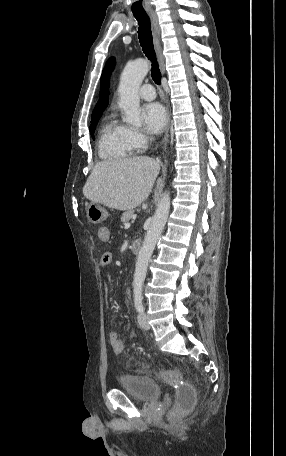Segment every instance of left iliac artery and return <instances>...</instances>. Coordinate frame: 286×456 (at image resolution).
Wrapping results in <instances>:
<instances>
[{"mask_svg": "<svg viewBox=\"0 0 286 456\" xmlns=\"http://www.w3.org/2000/svg\"><path fill=\"white\" fill-rule=\"evenodd\" d=\"M134 304H135V308L138 312L144 311L143 296H142L141 290H138V289L134 290Z\"/></svg>", "mask_w": 286, "mask_h": 456, "instance_id": "obj_1", "label": "left iliac artery"}]
</instances>
